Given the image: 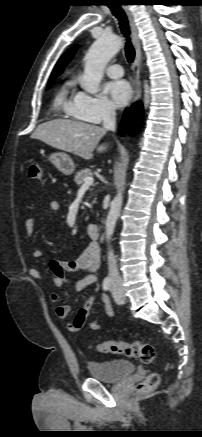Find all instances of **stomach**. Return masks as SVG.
I'll return each instance as SVG.
<instances>
[{
    "label": "stomach",
    "mask_w": 202,
    "mask_h": 437,
    "mask_svg": "<svg viewBox=\"0 0 202 437\" xmlns=\"http://www.w3.org/2000/svg\"><path fill=\"white\" fill-rule=\"evenodd\" d=\"M48 160L64 175H71L75 170V164L71 157L63 152L50 154Z\"/></svg>",
    "instance_id": "1"
}]
</instances>
